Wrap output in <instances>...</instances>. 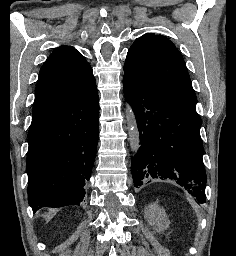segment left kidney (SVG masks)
<instances>
[{
    "label": "left kidney",
    "mask_w": 236,
    "mask_h": 256,
    "mask_svg": "<svg viewBox=\"0 0 236 256\" xmlns=\"http://www.w3.org/2000/svg\"><path fill=\"white\" fill-rule=\"evenodd\" d=\"M145 220L149 226H155L156 232H163L169 228V220L166 216L164 208L157 206V204H149L145 208Z\"/></svg>",
    "instance_id": "5707ae66"
}]
</instances>
